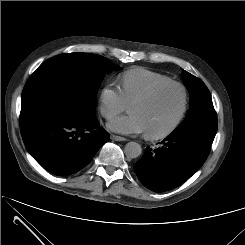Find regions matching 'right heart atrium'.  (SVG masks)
<instances>
[{
	"instance_id": "obj_1",
	"label": "right heart atrium",
	"mask_w": 245,
	"mask_h": 245,
	"mask_svg": "<svg viewBox=\"0 0 245 245\" xmlns=\"http://www.w3.org/2000/svg\"><path fill=\"white\" fill-rule=\"evenodd\" d=\"M126 102L120 89L106 84L99 93V111L104 118L111 119L123 112Z\"/></svg>"
}]
</instances>
